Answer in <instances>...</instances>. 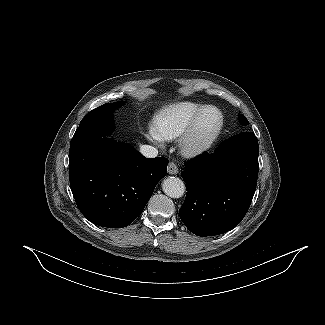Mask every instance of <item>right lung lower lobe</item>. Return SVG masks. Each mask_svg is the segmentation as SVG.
<instances>
[{"label": "right lung lower lobe", "instance_id": "right-lung-lower-lobe-1", "mask_svg": "<svg viewBox=\"0 0 325 325\" xmlns=\"http://www.w3.org/2000/svg\"><path fill=\"white\" fill-rule=\"evenodd\" d=\"M168 159L145 158L132 146L97 134H74L69 152L70 186L81 213L92 223L122 228L143 211Z\"/></svg>", "mask_w": 325, "mask_h": 325}]
</instances>
